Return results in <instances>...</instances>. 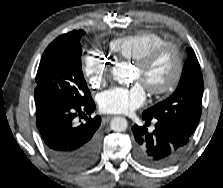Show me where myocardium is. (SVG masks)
I'll return each instance as SVG.
<instances>
[{
	"mask_svg": "<svg viewBox=\"0 0 223 188\" xmlns=\"http://www.w3.org/2000/svg\"><path fill=\"white\" fill-rule=\"evenodd\" d=\"M166 50H169L173 53V74L164 86L147 88L148 92L153 96H163L170 94L172 91H174V89L181 81L184 72V58L180 47L174 42L164 41L161 44L147 51L140 59L135 61L136 67L141 71H145Z\"/></svg>",
	"mask_w": 223,
	"mask_h": 188,
	"instance_id": "f54148a6",
	"label": "myocardium"
}]
</instances>
